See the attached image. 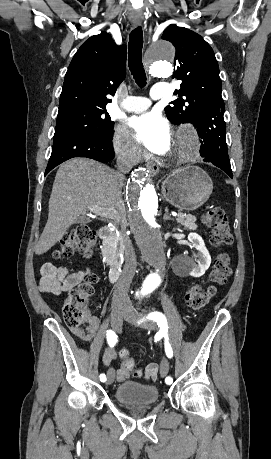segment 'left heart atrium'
Segmentation results:
<instances>
[{"label": "left heart atrium", "mask_w": 271, "mask_h": 459, "mask_svg": "<svg viewBox=\"0 0 271 459\" xmlns=\"http://www.w3.org/2000/svg\"><path fill=\"white\" fill-rule=\"evenodd\" d=\"M130 129L135 140L153 152H164L170 144V126L157 113L149 112L133 118L130 121Z\"/></svg>", "instance_id": "left-heart-atrium-1"}]
</instances>
